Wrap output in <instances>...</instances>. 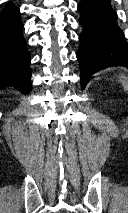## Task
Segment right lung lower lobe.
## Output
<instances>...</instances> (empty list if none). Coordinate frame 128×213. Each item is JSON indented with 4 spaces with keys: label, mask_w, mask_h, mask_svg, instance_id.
Returning a JSON list of instances; mask_svg holds the SVG:
<instances>
[{
    "label": "right lung lower lobe",
    "mask_w": 128,
    "mask_h": 213,
    "mask_svg": "<svg viewBox=\"0 0 128 213\" xmlns=\"http://www.w3.org/2000/svg\"><path fill=\"white\" fill-rule=\"evenodd\" d=\"M19 9L9 3L0 13V89L15 87L30 92V53L22 36Z\"/></svg>",
    "instance_id": "right-lung-lower-lobe-1"
}]
</instances>
